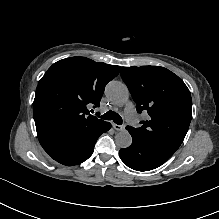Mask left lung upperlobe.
Instances as JSON below:
<instances>
[{"mask_svg": "<svg viewBox=\"0 0 219 219\" xmlns=\"http://www.w3.org/2000/svg\"><path fill=\"white\" fill-rule=\"evenodd\" d=\"M127 85L138 113H148L139 128L126 129L146 144L172 156L183 142L192 117L191 94L185 83L160 66L123 67Z\"/></svg>", "mask_w": 219, "mask_h": 219, "instance_id": "1", "label": "left lung upper lobe"}]
</instances>
